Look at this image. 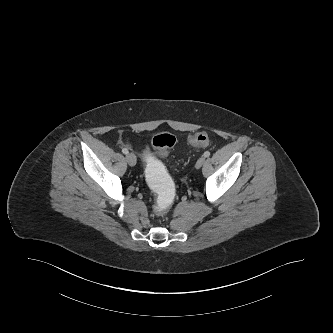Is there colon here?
I'll return each instance as SVG.
<instances>
[{"label":"colon","mask_w":333,"mask_h":333,"mask_svg":"<svg viewBox=\"0 0 333 333\" xmlns=\"http://www.w3.org/2000/svg\"><path fill=\"white\" fill-rule=\"evenodd\" d=\"M188 141L195 147H206L209 137L205 132H195L188 137ZM176 144V138L170 133H160L152 138V148H145L141 152L145 181L157 194L156 210L165 213L175 199L174 179L168 171L164 158ZM159 157H157V156Z\"/></svg>","instance_id":"obj_1"}]
</instances>
